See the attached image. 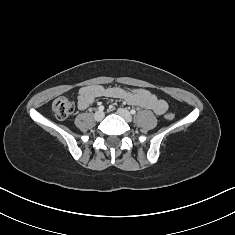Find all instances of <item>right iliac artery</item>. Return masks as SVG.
Returning <instances> with one entry per match:
<instances>
[{"label":"right iliac artery","instance_id":"82829eb1","mask_svg":"<svg viewBox=\"0 0 235 235\" xmlns=\"http://www.w3.org/2000/svg\"><path fill=\"white\" fill-rule=\"evenodd\" d=\"M100 111H103L104 110V106H99V108H98Z\"/></svg>","mask_w":235,"mask_h":235}]
</instances>
